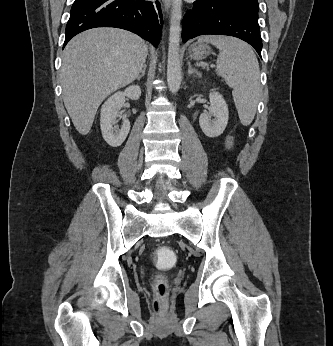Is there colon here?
I'll return each instance as SVG.
<instances>
[{
	"instance_id": "1",
	"label": "colon",
	"mask_w": 333,
	"mask_h": 346,
	"mask_svg": "<svg viewBox=\"0 0 333 346\" xmlns=\"http://www.w3.org/2000/svg\"><path fill=\"white\" fill-rule=\"evenodd\" d=\"M157 257H154L155 271H171L175 268V249L165 247L158 248ZM168 283L163 277H158L155 284L154 307L157 313H163L167 309Z\"/></svg>"
}]
</instances>
